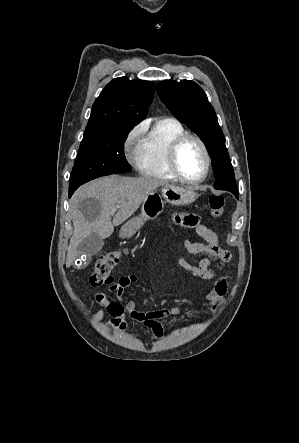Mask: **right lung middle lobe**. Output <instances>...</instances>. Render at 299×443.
I'll return each instance as SVG.
<instances>
[{
    "mask_svg": "<svg viewBox=\"0 0 299 443\" xmlns=\"http://www.w3.org/2000/svg\"><path fill=\"white\" fill-rule=\"evenodd\" d=\"M133 126H114L83 135L70 176L69 188L114 173L131 170L124 142Z\"/></svg>",
    "mask_w": 299,
    "mask_h": 443,
    "instance_id": "dd1d6c3e",
    "label": "right lung middle lobe"
}]
</instances>
